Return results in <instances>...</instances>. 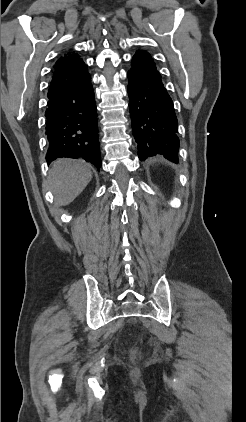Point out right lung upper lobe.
<instances>
[{"label": "right lung upper lobe", "mask_w": 246, "mask_h": 422, "mask_svg": "<svg viewBox=\"0 0 246 422\" xmlns=\"http://www.w3.org/2000/svg\"><path fill=\"white\" fill-rule=\"evenodd\" d=\"M87 65L73 53L60 57L53 66V76L48 94L65 88L88 75Z\"/></svg>", "instance_id": "obj_1"}]
</instances>
